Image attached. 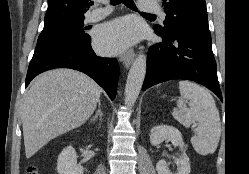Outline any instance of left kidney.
<instances>
[{
    "label": "left kidney",
    "instance_id": "left-kidney-1",
    "mask_svg": "<svg viewBox=\"0 0 249 174\" xmlns=\"http://www.w3.org/2000/svg\"><path fill=\"white\" fill-rule=\"evenodd\" d=\"M164 140L171 141L174 146H179L182 150H185V144L183 142L181 132L173 126L158 125L151 129L150 142L152 145H159ZM177 163L180 164L179 170L175 174H189L190 163L189 158L185 153L177 159ZM158 174H173L165 160H160L156 165Z\"/></svg>",
    "mask_w": 249,
    "mask_h": 174
}]
</instances>
